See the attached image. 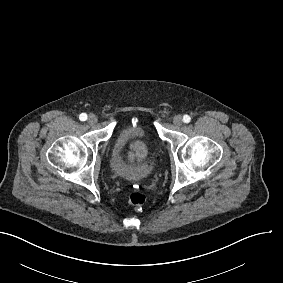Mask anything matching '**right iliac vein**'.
I'll return each mask as SVG.
<instances>
[{
	"label": "right iliac vein",
	"instance_id": "1",
	"mask_svg": "<svg viewBox=\"0 0 283 283\" xmlns=\"http://www.w3.org/2000/svg\"><path fill=\"white\" fill-rule=\"evenodd\" d=\"M98 121L97 119V116L94 115V114H90L89 117H88V123L93 125V124H96Z\"/></svg>",
	"mask_w": 283,
	"mask_h": 283
}]
</instances>
